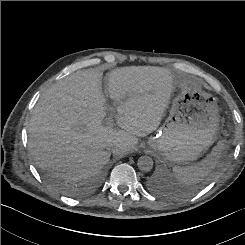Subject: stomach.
I'll return each instance as SVG.
<instances>
[{
	"instance_id": "0dacf381",
	"label": "stomach",
	"mask_w": 245,
	"mask_h": 245,
	"mask_svg": "<svg viewBox=\"0 0 245 245\" xmlns=\"http://www.w3.org/2000/svg\"><path fill=\"white\" fill-rule=\"evenodd\" d=\"M173 100L160 133L149 147L174 164H188L201 157L216 141L220 130L217 98L191 78L177 81Z\"/></svg>"
}]
</instances>
